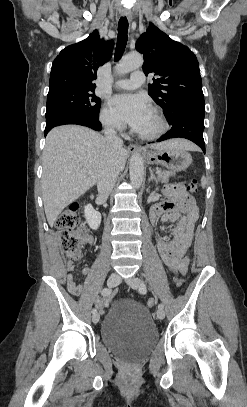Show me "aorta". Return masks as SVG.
<instances>
[{
	"label": "aorta",
	"mask_w": 247,
	"mask_h": 407,
	"mask_svg": "<svg viewBox=\"0 0 247 407\" xmlns=\"http://www.w3.org/2000/svg\"><path fill=\"white\" fill-rule=\"evenodd\" d=\"M143 65V57L139 53H131L125 56L116 66V72L120 75L127 74ZM130 182L135 188H140L144 180V162L140 155H133L129 165Z\"/></svg>",
	"instance_id": "aorta-1"
}]
</instances>
